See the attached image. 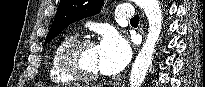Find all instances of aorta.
Wrapping results in <instances>:
<instances>
[{
  "mask_svg": "<svg viewBox=\"0 0 205 87\" xmlns=\"http://www.w3.org/2000/svg\"><path fill=\"white\" fill-rule=\"evenodd\" d=\"M144 10L149 29L142 49L138 53L130 74V87H140L143 83L149 66L152 63L153 53L162 28V11L158 0H135Z\"/></svg>",
  "mask_w": 205,
  "mask_h": 87,
  "instance_id": "762f6f07",
  "label": "aorta"
}]
</instances>
